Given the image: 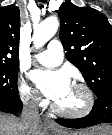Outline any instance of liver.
<instances>
[{"label":"liver","instance_id":"1","mask_svg":"<svg viewBox=\"0 0 112 135\" xmlns=\"http://www.w3.org/2000/svg\"><path fill=\"white\" fill-rule=\"evenodd\" d=\"M0 135H44V131L39 124L34 131L26 130L20 120L0 112Z\"/></svg>","mask_w":112,"mask_h":135}]
</instances>
